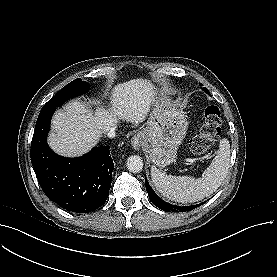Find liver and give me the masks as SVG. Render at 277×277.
I'll list each match as a JSON object with an SVG mask.
<instances>
[{
    "label": "liver",
    "mask_w": 277,
    "mask_h": 277,
    "mask_svg": "<svg viewBox=\"0 0 277 277\" xmlns=\"http://www.w3.org/2000/svg\"><path fill=\"white\" fill-rule=\"evenodd\" d=\"M155 99V90L143 79L119 84L113 90L112 107L93 112L84 102L71 101L55 113L48 144L57 154L79 156L95 146L102 133L117 125L118 120L135 124L145 120Z\"/></svg>",
    "instance_id": "liver-1"
}]
</instances>
